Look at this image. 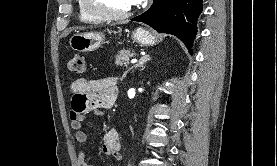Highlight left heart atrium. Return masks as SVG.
I'll return each mask as SVG.
<instances>
[{"mask_svg": "<svg viewBox=\"0 0 277 166\" xmlns=\"http://www.w3.org/2000/svg\"><path fill=\"white\" fill-rule=\"evenodd\" d=\"M132 1H133V4L136 5V4L141 3V2L144 1V0H132Z\"/></svg>", "mask_w": 277, "mask_h": 166, "instance_id": "obj_1", "label": "left heart atrium"}]
</instances>
